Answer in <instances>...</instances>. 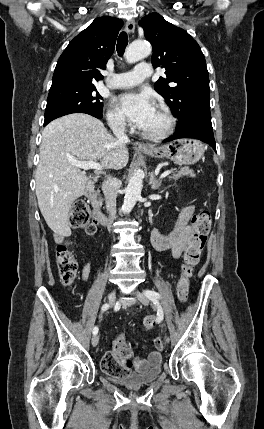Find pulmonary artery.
I'll list each match as a JSON object with an SVG mask.
<instances>
[{"mask_svg": "<svg viewBox=\"0 0 264 429\" xmlns=\"http://www.w3.org/2000/svg\"><path fill=\"white\" fill-rule=\"evenodd\" d=\"M151 75V67L147 63L138 64L134 70L124 73H117L113 76L110 86L112 88H127L135 86Z\"/></svg>", "mask_w": 264, "mask_h": 429, "instance_id": "pulmonary-artery-1", "label": "pulmonary artery"}]
</instances>
